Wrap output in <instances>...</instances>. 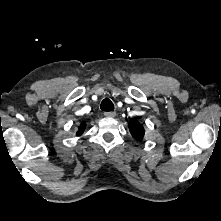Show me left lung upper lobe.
<instances>
[{"label":"left lung upper lobe","mask_w":221,"mask_h":221,"mask_svg":"<svg viewBox=\"0 0 221 221\" xmlns=\"http://www.w3.org/2000/svg\"><path fill=\"white\" fill-rule=\"evenodd\" d=\"M129 130L132 136L137 140L141 141L144 137L145 130L143 126L135 119L129 121Z\"/></svg>","instance_id":"1"}]
</instances>
